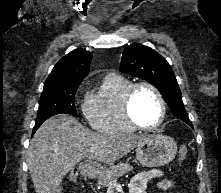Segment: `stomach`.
<instances>
[{"label": "stomach", "instance_id": "0dacf381", "mask_svg": "<svg viewBox=\"0 0 221 193\" xmlns=\"http://www.w3.org/2000/svg\"><path fill=\"white\" fill-rule=\"evenodd\" d=\"M177 153L176 142L167 136L152 135L136 148V160L145 167H158L171 162ZM80 171L89 177L99 176L104 170L89 168L81 164Z\"/></svg>", "mask_w": 221, "mask_h": 193}]
</instances>
